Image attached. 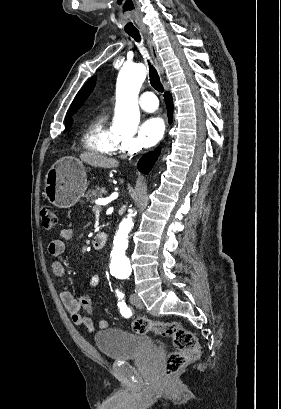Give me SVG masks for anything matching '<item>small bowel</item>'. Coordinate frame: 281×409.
Segmentation results:
<instances>
[{
    "label": "small bowel",
    "instance_id": "small-bowel-1",
    "mask_svg": "<svg viewBox=\"0 0 281 409\" xmlns=\"http://www.w3.org/2000/svg\"><path fill=\"white\" fill-rule=\"evenodd\" d=\"M73 236V231L70 228H63L60 230L59 235L56 239L52 240L48 246V251L53 256H60L64 253L66 249V243L71 240ZM52 271L54 274L62 280V289L60 292L61 301L70 314L71 321L74 325L84 327L87 331L91 332L96 327L100 329H105L108 326L106 320L101 319L96 324L90 315L93 312V306L90 298L88 296H81L79 299L69 291L67 285L64 283L63 279L65 277V266L60 261H53L51 264ZM99 276L94 275L89 280V287L95 288L98 285Z\"/></svg>",
    "mask_w": 281,
    "mask_h": 409
}]
</instances>
